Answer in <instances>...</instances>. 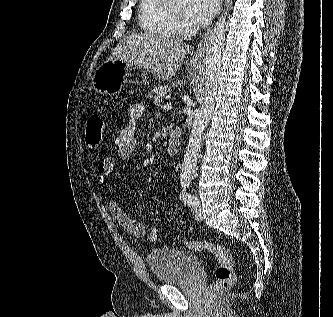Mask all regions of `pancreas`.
<instances>
[{
	"mask_svg": "<svg viewBox=\"0 0 333 317\" xmlns=\"http://www.w3.org/2000/svg\"><path fill=\"white\" fill-rule=\"evenodd\" d=\"M171 89L168 85H161L158 87H154L151 93L149 94V99L153 102V104H159L163 102L165 96L169 95Z\"/></svg>",
	"mask_w": 333,
	"mask_h": 317,
	"instance_id": "cf45deb5",
	"label": "pancreas"
}]
</instances>
